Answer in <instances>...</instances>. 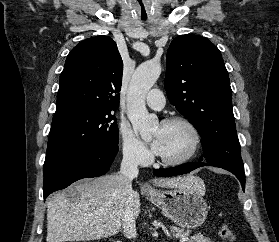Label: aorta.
<instances>
[{"label":"aorta","mask_w":279,"mask_h":242,"mask_svg":"<svg viewBox=\"0 0 279 242\" xmlns=\"http://www.w3.org/2000/svg\"><path fill=\"white\" fill-rule=\"evenodd\" d=\"M160 73V64L152 61L145 62L137 67L130 82L127 94V116L143 140H149L158 126L157 117L149 114L146 109L145 97Z\"/></svg>","instance_id":"obj_1"}]
</instances>
